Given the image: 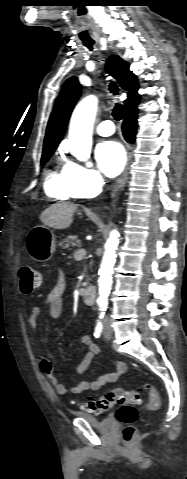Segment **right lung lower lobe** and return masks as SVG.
<instances>
[{
	"label": "right lung lower lobe",
	"mask_w": 187,
	"mask_h": 479,
	"mask_svg": "<svg viewBox=\"0 0 187 479\" xmlns=\"http://www.w3.org/2000/svg\"><path fill=\"white\" fill-rule=\"evenodd\" d=\"M122 128L125 139L128 142L133 143L137 129V106L126 110Z\"/></svg>",
	"instance_id": "obj_1"
}]
</instances>
